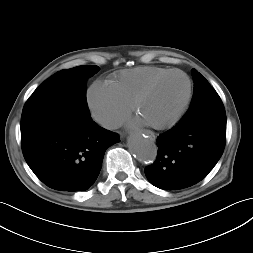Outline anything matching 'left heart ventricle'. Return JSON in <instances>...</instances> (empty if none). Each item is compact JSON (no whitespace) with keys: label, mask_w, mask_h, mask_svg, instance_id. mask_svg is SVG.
I'll return each instance as SVG.
<instances>
[{"label":"left heart ventricle","mask_w":253,"mask_h":253,"mask_svg":"<svg viewBox=\"0 0 253 253\" xmlns=\"http://www.w3.org/2000/svg\"><path fill=\"white\" fill-rule=\"evenodd\" d=\"M186 93V79L179 74L171 75L162 80L142 101L138 115L148 124L165 123L177 113Z\"/></svg>","instance_id":"1"}]
</instances>
